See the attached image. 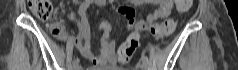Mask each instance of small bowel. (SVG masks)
<instances>
[{
	"mask_svg": "<svg viewBox=\"0 0 238 70\" xmlns=\"http://www.w3.org/2000/svg\"><path fill=\"white\" fill-rule=\"evenodd\" d=\"M136 4L147 3L151 5H157L158 8L151 14L147 15L145 19H164L168 17L174 6V0H135ZM89 3L86 1L83 9ZM119 12L124 15L127 26L130 29L136 28L134 23V11L128 7H121ZM69 18L74 19L73 13L68 14ZM54 28L59 29V33H53ZM53 35L62 41H68L75 45L81 55L93 63V67L90 69H104L107 67H114L116 62L121 59H117L118 49L116 48L115 42H109V36L112 30V26L108 21H102L100 24L101 36L99 42L98 52H94L90 46V32L88 23L82 12L81 21L79 22V35L77 38L69 37L65 30V27L61 21L54 22L51 24ZM134 33V32H133Z\"/></svg>",
	"mask_w": 238,
	"mask_h": 70,
	"instance_id": "obj_1",
	"label": "small bowel"
}]
</instances>
